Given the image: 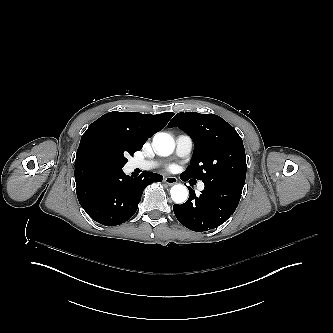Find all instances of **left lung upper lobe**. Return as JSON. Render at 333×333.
<instances>
[{"instance_id": "1", "label": "left lung upper lobe", "mask_w": 333, "mask_h": 333, "mask_svg": "<svg viewBox=\"0 0 333 333\" xmlns=\"http://www.w3.org/2000/svg\"><path fill=\"white\" fill-rule=\"evenodd\" d=\"M178 127L195 144L190 165L182 173L212 183L229 179L245 183L246 156L243 141L223 118L196 112L178 113L168 127Z\"/></svg>"}]
</instances>
